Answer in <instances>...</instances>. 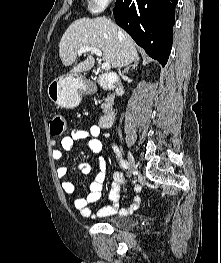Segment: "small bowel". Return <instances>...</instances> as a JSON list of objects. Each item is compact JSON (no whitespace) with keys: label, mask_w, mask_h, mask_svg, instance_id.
<instances>
[{"label":"small bowel","mask_w":221,"mask_h":263,"mask_svg":"<svg viewBox=\"0 0 221 263\" xmlns=\"http://www.w3.org/2000/svg\"><path fill=\"white\" fill-rule=\"evenodd\" d=\"M101 134V127L99 125H92L89 129L76 128L71 131L68 136H65L59 143H52V157L55 160H60L63 157L64 151L72 150L77 142H82L88 149H90L98 157L100 172L94 177L89 186V193L84 198L75 199V207L85 217L93 215L90 205L100 200L106 179L107 162L103 155V145L99 140ZM79 170L83 175H88L91 172L89 164H80ZM58 179L60 180L62 191L70 196L76 195V187L74 183L67 179L68 169L65 166H60L56 170ZM126 182V177L121 172L113 174V182L109 193L111 204L101 208L96 215L99 217L109 216L116 213L123 215L129 214L140 207L141 199L135 196L131 204L127 207H120V191L119 186ZM135 192L140 191V186L135 185Z\"/></svg>","instance_id":"c3829d8e"}]
</instances>
